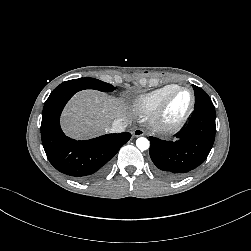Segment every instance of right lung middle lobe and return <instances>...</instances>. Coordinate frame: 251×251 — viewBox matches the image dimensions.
Returning <instances> with one entry per match:
<instances>
[{
    "mask_svg": "<svg viewBox=\"0 0 251 251\" xmlns=\"http://www.w3.org/2000/svg\"><path fill=\"white\" fill-rule=\"evenodd\" d=\"M95 89L103 92H111L114 86L94 78H79L63 82L56 87L53 92L61 90H75Z\"/></svg>",
    "mask_w": 251,
    "mask_h": 251,
    "instance_id": "right-lung-middle-lobe-1",
    "label": "right lung middle lobe"
}]
</instances>
